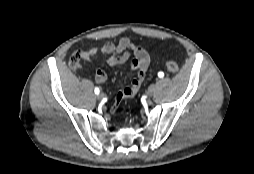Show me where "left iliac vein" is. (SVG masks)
<instances>
[{
	"instance_id": "1",
	"label": "left iliac vein",
	"mask_w": 254,
	"mask_h": 174,
	"mask_svg": "<svg viewBox=\"0 0 254 174\" xmlns=\"http://www.w3.org/2000/svg\"><path fill=\"white\" fill-rule=\"evenodd\" d=\"M156 90H157L156 85H151L147 91L148 97H152L155 94Z\"/></svg>"
}]
</instances>
